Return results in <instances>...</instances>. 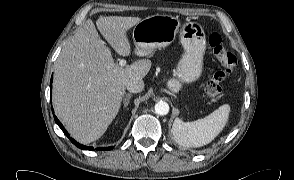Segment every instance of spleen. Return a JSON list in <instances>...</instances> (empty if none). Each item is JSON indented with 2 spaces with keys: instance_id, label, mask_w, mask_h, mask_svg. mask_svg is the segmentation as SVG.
<instances>
[{
  "instance_id": "1",
  "label": "spleen",
  "mask_w": 294,
  "mask_h": 180,
  "mask_svg": "<svg viewBox=\"0 0 294 180\" xmlns=\"http://www.w3.org/2000/svg\"><path fill=\"white\" fill-rule=\"evenodd\" d=\"M230 106L224 104L208 116L194 122H183L176 118L172 126L174 140L181 146L201 147L209 144L225 127Z\"/></svg>"
}]
</instances>
